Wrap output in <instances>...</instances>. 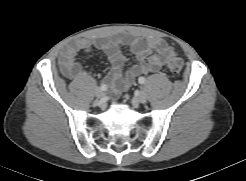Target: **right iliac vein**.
I'll return each instance as SVG.
<instances>
[{
    "label": "right iliac vein",
    "instance_id": "right-iliac-vein-1",
    "mask_svg": "<svg viewBox=\"0 0 246 181\" xmlns=\"http://www.w3.org/2000/svg\"><path fill=\"white\" fill-rule=\"evenodd\" d=\"M95 96H96L97 98H102V97L104 96V93H103V91L100 90V88H98V89H96V91H95Z\"/></svg>",
    "mask_w": 246,
    "mask_h": 181
}]
</instances>
